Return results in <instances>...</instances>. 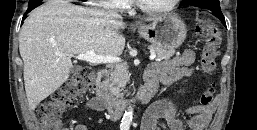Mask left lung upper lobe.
I'll return each mask as SVG.
<instances>
[{
    "label": "left lung upper lobe",
    "mask_w": 257,
    "mask_h": 130,
    "mask_svg": "<svg viewBox=\"0 0 257 130\" xmlns=\"http://www.w3.org/2000/svg\"><path fill=\"white\" fill-rule=\"evenodd\" d=\"M204 4V3H211V4H220L219 0H183L181 2V5H187V4Z\"/></svg>",
    "instance_id": "1"
}]
</instances>
